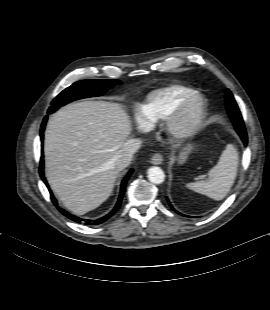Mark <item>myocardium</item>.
<instances>
[{"label":"myocardium","instance_id":"1","mask_svg":"<svg viewBox=\"0 0 270 310\" xmlns=\"http://www.w3.org/2000/svg\"><path fill=\"white\" fill-rule=\"evenodd\" d=\"M207 110L208 102L201 92L192 90L184 95L163 122L166 140L181 143L194 138L203 127Z\"/></svg>","mask_w":270,"mask_h":310}]
</instances>
